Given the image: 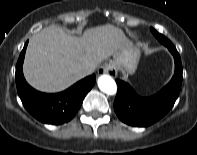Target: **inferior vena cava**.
I'll return each instance as SVG.
<instances>
[{
    "label": "inferior vena cava",
    "mask_w": 197,
    "mask_h": 155,
    "mask_svg": "<svg viewBox=\"0 0 197 155\" xmlns=\"http://www.w3.org/2000/svg\"><path fill=\"white\" fill-rule=\"evenodd\" d=\"M93 71H94V68L89 67V66H85V67L82 68V72L85 75H88V74L92 73Z\"/></svg>",
    "instance_id": "602c4592"
}]
</instances>
